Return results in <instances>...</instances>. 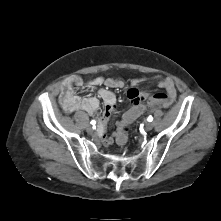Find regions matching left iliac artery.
<instances>
[{
	"label": "left iliac artery",
	"mask_w": 221,
	"mask_h": 221,
	"mask_svg": "<svg viewBox=\"0 0 221 221\" xmlns=\"http://www.w3.org/2000/svg\"><path fill=\"white\" fill-rule=\"evenodd\" d=\"M147 120H148L149 122H151V121L153 120V117L150 115V116L147 118Z\"/></svg>",
	"instance_id": "44dca946"
}]
</instances>
